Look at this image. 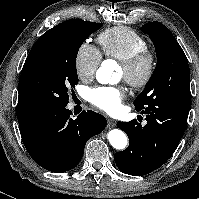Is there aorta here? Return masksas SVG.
<instances>
[{"instance_id":"762f6f07","label":"aorta","mask_w":199,"mask_h":199,"mask_svg":"<svg viewBox=\"0 0 199 199\" xmlns=\"http://www.w3.org/2000/svg\"><path fill=\"white\" fill-rule=\"evenodd\" d=\"M96 78L102 84H108L114 81L111 70L104 64L97 70ZM108 140L110 144L118 150L125 149L128 143L127 136L123 131L119 129L111 130L108 133Z\"/></svg>"}]
</instances>
